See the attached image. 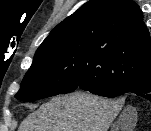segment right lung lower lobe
<instances>
[{
    "label": "right lung lower lobe",
    "mask_w": 151,
    "mask_h": 131,
    "mask_svg": "<svg viewBox=\"0 0 151 131\" xmlns=\"http://www.w3.org/2000/svg\"><path fill=\"white\" fill-rule=\"evenodd\" d=\"M79 88L93 94L109 98L119 97L127 93H134L151 101V82L128 86H111L108 84H93L85 81L83 83H79Z\"/></svg>",
    "instance_id": "98d812e1"
}]
</instances>
